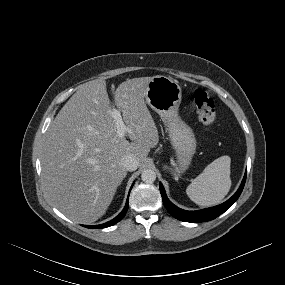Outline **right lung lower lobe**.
I'll list each match as a JSON object with an SVG mask.
<instances>
[{"instance_id":"98d812e1","label":"right lung lower lobe","mask_w":285,"mask_h":285,"mask_svg":"<svg viewBox=\"0 0 285 285\" xmlns=\"http://www.w3.org/2000/svg\"><path fill=\"white\" fill-rule=\"evenodd\" d=\"M128 201L129 199H127V202H126V205L123 209V211L118 215L116 216L114 219H112L111 221H108L104 224H101V225H94V226H87V225H83L84 227H87V228H92V229H96V228H106V227H109V226H112L114 224H116L117 222H119L123 217L124 215L126 214L127 212V209H128Z\"/></svg>"}]
</instances>
